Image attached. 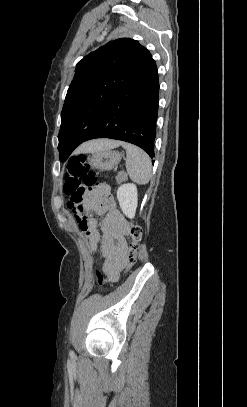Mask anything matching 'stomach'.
I'll return each instance as SVG.
<instances>
[{
    "label": "stomach",
    "instance_id": "1",
    "mask_svg": "<svg viewBox=\"0 0 247 407\" xmlns=\"http://www.w3.org/2000/svg\"><path fill=\"white\" fill-rule=\"evenodd\" d=\"M121 159V153L112 149H106L94 152L92 156L88 158V163L94 169L109 171L117 166Z\"/></svg>",
    "mask_w": 247,
    "mask_h": 407
}]
</instances>
